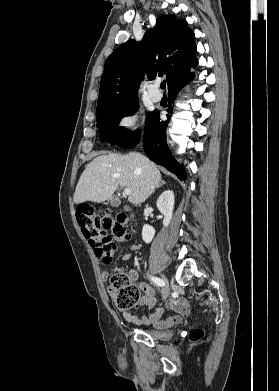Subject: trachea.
<instances>
[{
	"label": "trachea",
	"instance_id": "3493384b",
	"mask_svg": "<svg viewBox=\"0 0 279 391\" xmlns=\"http://www.w3.org/2000/svg\"><path fill=\"white\" fill-rule=\"evenodd\" d=\"M160 87H161V89L164 90V89L166 88V81H163V82L161 83V86H160Z\"/></svg>",
	"mask_w": 279,
	"mask_h": 391
}]
</instances>
